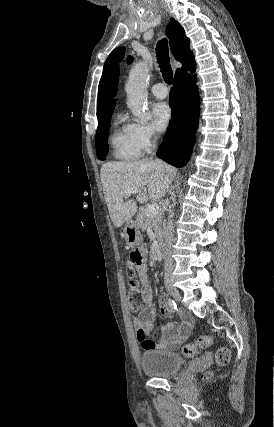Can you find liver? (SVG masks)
<instances>
[{
    "label": "liver",
    "mask_w": 274,
    "mask_h": 427,
    "mask_svg": "<svg viewBox=\"0 0 274 427\" xmlns=\"http://www.w3.org/2000/svg\"><path fill=\"white\" fill-rule=\"evenodd\" d=\"M176 174L173 166L162 160H125L107 162L100 170L104 198L109 215L115 225L120 227L137 212V202L160 200L168 192ZM138 190L135 200L124 202L126 190Z\"/></svg>",
    "instance_id": "liver-1"
}]
</instances>
